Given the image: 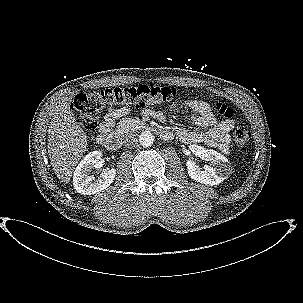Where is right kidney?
I'll return each instance as SVG.
<instances>
[{"label":"right kidney","instance_id":"1","mask_svg":"<svg viewBox=\"0 0 303 303\" xmlns=\"http://www.w3.org/2000/svg\"><path fill=\"white\" fill-rule=\"evenodd\" d=\"M101 151H93L87 154L78 164L74 171V189L83 195H92L106 189L113 182L116 170L114 168L104 170L98 179L89 176L93 168L99 167Z\"/></svg>","mask_w":303,"mask_h":303}]
</instances>
